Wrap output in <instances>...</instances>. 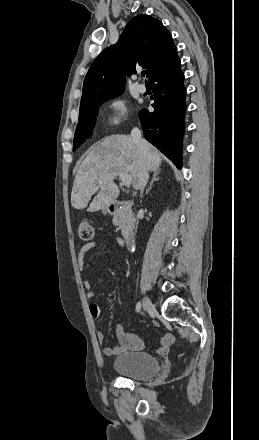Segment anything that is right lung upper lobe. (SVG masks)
<instances>
[{
    "instance_id": "obj_1",
    "label": "right lung upper lobe",
    "mask_w": 259,
    "mask_h": 440,
    "mask_svg": "<svg viewBox=\"0 0 259 440\" xmlns=\"http://www.w3.org/2000/svg\"><path fill=\"white\" fill-rule=\"evenodd\" d=\"M177 55L169 31L146 14L134 17L116 45L106 48L91 65L83 83L81 106L124 90L125 75L136 67L147 70V78Z\"/></svg>"
}]
</instances>
